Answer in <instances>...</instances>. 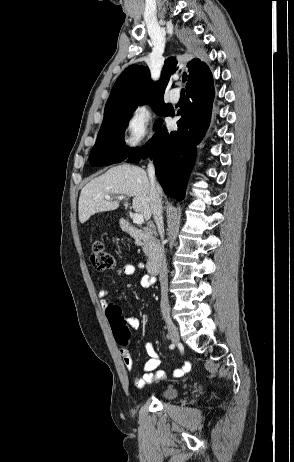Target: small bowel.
Listing matches in <instances>:
<instances>
[{
  "label": "small bowel",
  "mask_w": 294,
  "mask_h": 462,
  "mask_svg": "<svg viewBox=\"0 0 294 462\" xmlns=\"http://www.w3.org/2000/svg\"><path fill=\"white\" fill-rule=\"evenodd\" d=\"M143 267H144L143 264L138 265L139 269H142ZM135 270L136 268L133 264L126 263L121 268L117 269L115 274L120 275V276L121 275L131 276L135 273ZM155 283H156V278L153 276L146 275L141 279V285L144 287L151 286ZM109 295H110V290L108 288H102L99 291V297L102 299V306L105 309L107 308L109 304L106 301V298ZM125 320H126V323L133 329H138L141 325V321L137 317H128V318H125ZM118 344L120 346V354L124 362V365L129 372H132L134 368V364H133V360L131 358L130 352L126 346V343L118 342ZM145 350H146V353L149 359L147 360V362L145 363L143 367L142 374L133 376V379H132L134 386L137 388H142L146 384L157 382L166 377V373L163 370H157L160 364V359H159L157 352L155 351L154 347L152 346L150 342L145 343ZM189 369H190V364L186 362L181 368L176 369L173 374L175 377H181L185 373H187Z\"/></svg>",
  "instance_id": "obj_1"
}]
</instances>
